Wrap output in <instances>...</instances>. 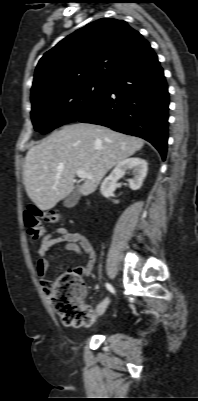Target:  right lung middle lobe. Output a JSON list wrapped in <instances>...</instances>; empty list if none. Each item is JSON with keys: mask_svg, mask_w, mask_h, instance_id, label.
I'll use <instances>...</instances> for the list:
<instances>
[{"mask_svg": "<svg viewBox=\"0 0 198 401\" xmlns=\"http://www.w3.org/2000/svg\"><path fill=\"white\" fill-rule=\"evenodd\" d=\"M107 86L108 81H89L38 96L31 111L35 130L45 134L76 121L101 99Z\"/></svg>", "mask_w": 198, "mask_h": 401, "instance_id": "obj_1", "label": "right lung middle lobe"}]
</instances>
